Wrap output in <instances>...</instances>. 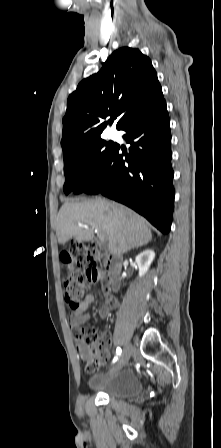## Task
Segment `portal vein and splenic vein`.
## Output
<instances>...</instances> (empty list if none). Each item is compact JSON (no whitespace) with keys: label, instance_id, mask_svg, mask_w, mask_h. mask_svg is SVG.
<instances>
[{"label":"portal vein and splenic vein","instance_id":"18ae733b","mask_svg":"<svg viewBox=\"0 0 221 448\" xmlns=\"http://www.w3.org/2000/svg\"><path fill=\"white\" fill-rule=\"evenodd\" d=\"M99 238H100L101 241H104V239H105V238H104V235L101 234L100 232H99Z\"/></svg>","mask_w":221,"mask_h":448}]
</instances>
